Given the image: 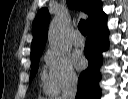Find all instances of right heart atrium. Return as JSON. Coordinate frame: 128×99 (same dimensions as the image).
<instances>
[{
  "mask_svg": "<svg viewBox=\"0 0 128 99\" xmlns=\"http://www.w3.org/2000/svg\"><path fill=\"white\" fill-rule=\"evenodd\" d=\"M44 59L55 92L60 93L76 85L78 76L67 56L48 50L44 55Z\"/></svg>",
  "mask_w": 128,
  "mask_h": 99,
  "instance_id": "obj_1",
  "label": "right heart atrium"
}]
</instances>
